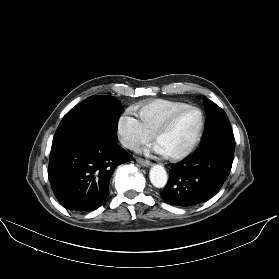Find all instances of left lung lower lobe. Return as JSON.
<instances>
[{"label":"left lung lower lobe","mask_w":279,"mask_h":279,"mask_svg":"<svg viewBox=\"0 0 279 279\" xmlns=\"http://www.w3.org/2000/svg\"><path fill=\"white\" fill-rule=\"evenodd\" d=\"M234 150L221 142L201 147L170 170L167 185L160 192L169 204L191 206L213 197L228 177Z\"/></svg>","instance_id":"0a47b994"}]
</instances>
